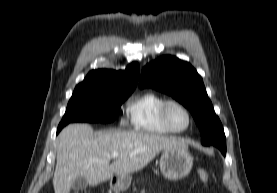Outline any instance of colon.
Segmentation results:
<instances>
[{"label": "colon", "instance_id": "1", "mask_svg": "<svg viewBox=\"0 0 277 193\" xmlns=\"http://www.w3.org/2000/svg\"><path fill=\"white\" fill-rule=\"evenodd\" d=\"M199 178L202 182H207L209 179L208 172L205 169H199L198 170Z\"/></svg>", "mask_w": 277, "mask_h": 193}]
</instances>
